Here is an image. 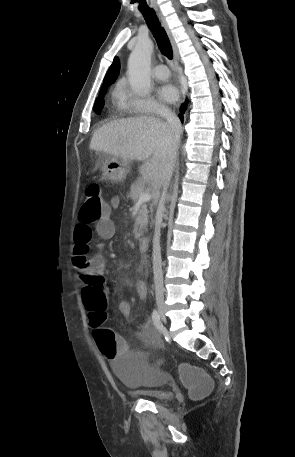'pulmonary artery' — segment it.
<instances>
[{
	"mask_svg": "<svg viewBox=\"0 0 295 457\" xmlns=\"http://www.w3.org/2000/svg\"><path fill=\"white\" fill-rule=\"evenodd\" d=\"M152 73L158 80H166L170 75L168 68L163 64L155 66Z\"/></svg>",
	"mask_w": 295,
	"mask_h": 457,
	"instance_id": "pulmonary-artery-1",
	"label": "pulmonary artery"
}]
</instances>
